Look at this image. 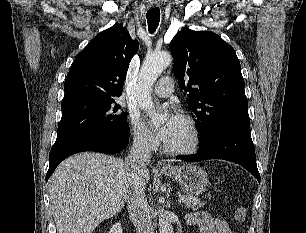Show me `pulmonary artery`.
Returning <instances> with one entry per match:
<instances>
[{
	"mask_svg": "<svg viewBox=\"0 0 306 233\" xmlns=\"http://www.w3.org/2000/svg\"><path fill=\"white\" fill-rule=\"evenodd\" d=\"M174 89V81L171 77H162L157 85L153 88L152 93L158 97H168Z\"/></svg>",
	"mask_w": 306,
	"mask_h": 233,
	"instance_id": "e3ab8cb5",
	"label": "pulmonary artery"
}]
</instances>
